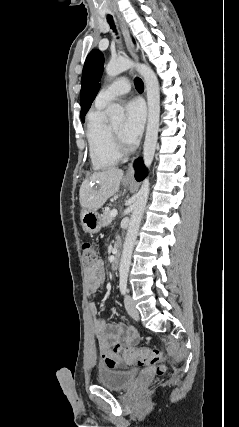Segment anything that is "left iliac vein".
Segmentation results:
<instances>
[{
    "instance_id": "4c4485c4",
    "label": "left iliac vein",
    "mask_w": 239,
    "mask_h": 427,
    "mask_svg": "<svg viewBox=\"0 0 239 427\" xmlns=\"http://www.w3.org/2000/svg\"><path fill=\"white\" fill-rule=\"evenodd\" d=\"M124 304H125V308L128 312V314L135 320L139 319V312L137 310V308L135 307V304L131 298L130 295H126L124 298Z\"/></svg>"
}]
</instances>
